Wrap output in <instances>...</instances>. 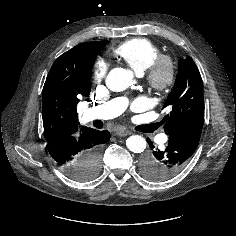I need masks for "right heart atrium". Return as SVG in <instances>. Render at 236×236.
I'll use <instances>...</instances> for the list:
<instances>
[{
	"mask_svg": "<svg viewBox=\"0 0 236 236\" xmlns=\"http://www.w3.org/2000/svg\"><path fill=\"white\" fill-rule=\"evenodd\" d=\"M108 64L104 59L99 58L93 66L92 77L95 83H100L106 76Z\"/></svg>",
	"mask_w": 236,
	"mask_h": 236,
	"instance_id": "right-heart-atrium-1",
	"label": "right heart atrium"
}]
</instances>
